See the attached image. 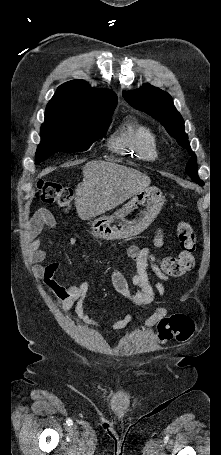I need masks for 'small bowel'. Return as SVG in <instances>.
<instances>
[{"label": "small bowel", "instance_id": "obj_1", "mask_svg": "<svg viewBox=\"0 0 221 455\" xmlns=\"http://www.w3.org/2000/svg\"><path fill=\"white\" fill-rule=\"evenodd\" d=\"M55 226V219L52 214L42 209L35 213L28 227L27 239L31 258L36 262H42L47 257V252L40 248L41 232L45 227ZM164 234L161 229L155 233L153 245L155 249L162 247ZM69 243L73 246L79 244V239L75 236L69 238ZM126 256L134 263V275L129 283L118 268L112 270V282L119 294L125 297L134 307H142L155 301V291L148 276V267L158 277L155 288L162 296L166 295L165 283L169 278L160 270L156 261L153 259L154 253L151 248L129 246L125 251ZM59 270V263L52 262L41 269L46 286L54 294L58 305L65 314L72 310L76 316L87 325L99 328L100 324L91 318L84 309V299L91 289V283L84 281L78 285H63L56 279ZM169 312L167 307L157 308L143 323V329H150L157 325ZM133 315L127 314L121 320L109 325L112 331L124 329L132 320Z\"/></svg>", "mask_w": 221, "mask_h": 455}]
</instances>
